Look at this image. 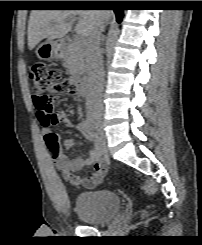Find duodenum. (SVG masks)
Returning a JSON list of instances; mask_svg holds the SVG:
<instances>
[{
  "mask_svg": "<svg viewBox=\"0 0 202 245\" xmlns=\"http://www.w3.org/2000/svg\"><path fill=\"white\" fill-rule=\"evenodd\" d=\"M56 51H57L58 57H61V44L60 43H58ZM75 88L80 96L87 97L89 95L88 81L86 78L82 77L76 80Z\"/></svg>",
  "mask_w": 202,
  "mask_h": 245,
  "instance_id": "duodenum-1",
  "label": "duodenum"
}]
</instances>
